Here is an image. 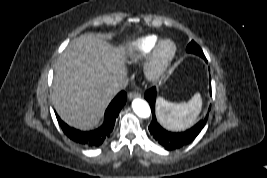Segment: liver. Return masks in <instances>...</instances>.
Wrapping results in <instances>:
<instances>
[{
    "label": "liver",
    "instance_id": "6515ba94",
    "mask_svg": "<svg viewBox=\"0 0 267 178\" xmlns=\"http://www.w3.org/2000/svg\"><path fill=\"white\" fill-rule=\"evenodd\" d=\"M125 47L114 49L97 34L72 40L55 65L54 107L68 125L88 130L98 125L114 94L108 87L126 77Z\"/></svg>",
    "mask_w": 267,
    "mask_h": 178
}]
</instances>
